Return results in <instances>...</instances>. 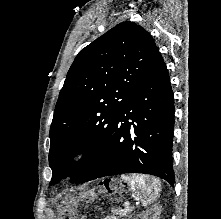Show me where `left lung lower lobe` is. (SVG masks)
<instances>
[{
  "instance_id": "0a47b994",
  "label": "left lung lower lobe",
  "mask_w": 221,
  "mask_h": 219,
  "mask_svg": "<svg viewBox=\"0 0 221 219\" xmlns=\"http://www.w3.org/2000/svg\"><path fill=\"white\" fill-rule=\"evenodd\" d=\"M173 131L174 96L158 51L146 77L117 117L96 163L78 183L122 173H143L173 185Z\"/></svg>"
}]
</instances>
